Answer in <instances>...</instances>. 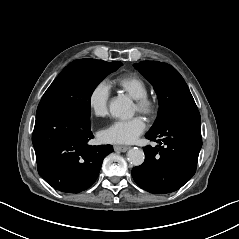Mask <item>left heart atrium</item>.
I'll list each match as a JSON object with an SVG mask.
<instances>
[{
	"instance_id": "obj_1",
	"label": "left heart atrium",
	"mask_w": 239,
	"mask_h": 239,
	"mask_svg": "<svg viewBox=\"0 0 239 239\" xmlns=\"http://www.w3.org/2000/svg\"><path fill=\"white\" fill-rule=\"evenodd\" d=\"M146 129V120L136 115L130 119H116L100 132L101 139L106 143L130 144Z\"/></svg>"
}]
</instances>
